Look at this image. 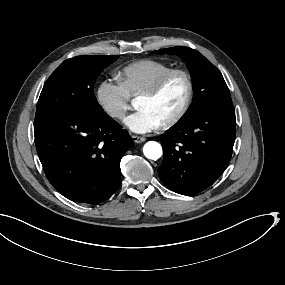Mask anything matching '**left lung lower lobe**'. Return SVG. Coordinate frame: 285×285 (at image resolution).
<instances>
[{
  "mask_svg": "<svg viewBox=\"0 0 285 285\" xmlns=\"http://www.w3.org/2000/svg\"><path fill=\"white\" fill-rule=\"evenodd\" d=\"M235 128L234 107H208L181 118L159 136L164 160L158 172L163 184L183 195L211 186L230 162Z\"/></svg>",
  "mask_w": 285,
  "mask_h": 285,
  "instance_id": "0a47b994",
  "label": "left lung lower lobe"
}]
</instances>
